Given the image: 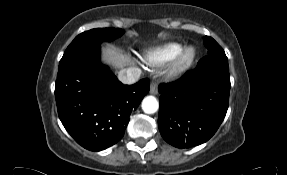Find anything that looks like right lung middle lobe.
I'll return each mask as SVG.
<instances>
[{"instance_id":"1","label":"right lung middle lobe","mask_w":287,"mask_h":175,"mask_svg":"<svg viewBox=\"0 0 287 175\" xmlns=\"http://www.w3.org/2000/svg\"><path fill=\"white\" fill-rule=\"evenodd\" d=\"M123 34L119 28H96L79 34L67 47L62 59L79 52L80 50L92 46L100 45L102 41H111Z\"/></svg>"}]
</instances>
